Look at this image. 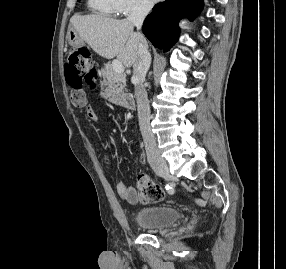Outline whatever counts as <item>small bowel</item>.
Returning a JSON list of instances; mask_svg holds the SVG:
<instances>
[{
    "mask_svg": "<svg viewBox=\"0 0 286 269\" xmlns=\"http://www.w3.org/2000/svg\"><path fill=\"white\" fill-rule=\"evenodd\" d=\"M119 88H100V93H119ZM102 99H122V94H102ZM86 94L82 89L72 90L71 92V101L75 106H85L86 105ZM86 117L90 120L95 119V113L90 108L87 107L85 110ZM104 167L107 170L111 169L109 152L106 150L103 160ZM148 177V176H147ZM149 178V177H148ZM116 192L120 198L129 202L136 203L139 200V195L137 190L128 185V183L124 180L118 181L116 183ZM172 192V191H171Z\"/></svg>",
    "mask_w": 286,
    "mask_h": 269,
    "instance_id": "c3829d8e",
    "label": "small bowel"
}]
</instances>
